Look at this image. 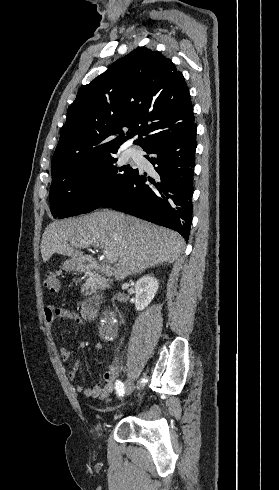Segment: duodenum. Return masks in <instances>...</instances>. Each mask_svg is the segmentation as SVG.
<instances>
[{
	"label": "duodenum",
	"instance_id": "1",
	"mask_svg": "<svg viewBox=\"0 0 279 490\" xmlns=\"http://www.w3.org/2000/svg\"><path fill=\"white\" fill-rule=\"evenodd\" d=\"M83 269L85 270H97L100 271L104 274H112V269L110 266L102 263H98L96 261H86L82 264ZM82 316L86 320H92L94 319L96 312H97V306L95 301L92 298L86 299L83 304H82Z\"/></svg>",
	"mask_w": 279,
	"mask_h": 490
}]
</instances>
